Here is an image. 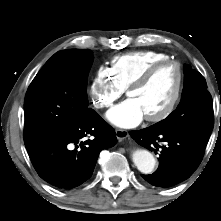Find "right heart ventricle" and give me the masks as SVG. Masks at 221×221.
Listing matches in <instances>:
<instances>
[{
  "label": "right heart ventricle",
  "mask_w": 221,
  "mask_h": 221,
  "mask_svg": "<svg viewBox=\"0 0 221 221\" xmlns=\"http://www.w3.org/2000/svg\"><path fill=\"white\" fill-rule=\"evenodd\" d=\"M166 59H169L167 54L153 50L126 53L111 59L109 71L116 82L125 90L149 66Z\"/></svg>",
  "instance_id": "obj_1"
}]
</instances>
